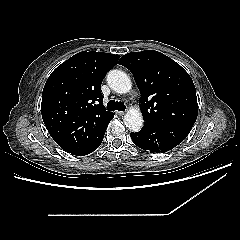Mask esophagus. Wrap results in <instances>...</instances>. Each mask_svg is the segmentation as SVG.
Instances as JSON below:
<instances>
[{"label":"esophagus","mask_w":240,"mask_h":240,"mask_svg":"<svg viewBox=\"0 0 240 240\" xmlns=\"http://www.w3.org/2000/svg\"><path fill=\"white\" fill-rule=\"evenodd\" d=\"M116 113L119 115V116H123L125 114L124 111H116Z\"/></svg>","instance_id":"esophagus-1"}]
</instances>
